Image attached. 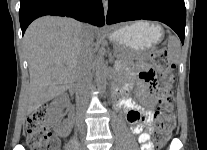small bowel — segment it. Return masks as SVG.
Masks as SVG:
<instances>
[{"label": "small bowel", "instance_id": "obj_1", "mask_svg": "<svg viewBox=\"0 0 207 150\" xmlns=\"http://www.w3.org/2000/svg\"><path fill=\"white\" fill-rule=\"evenodd\" d=\"M120 68L124 74V80L114 89L115 105L126 113L132 133L138 136L141 150H153L150 130L154 105L152 94L154 71L146 64H138L135 67L123 64ZM133 89H135V95L140 104L129 97V93Z\"/></svg>", "mask_w": 207, "mask_h": 150}]
</instances>
